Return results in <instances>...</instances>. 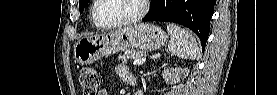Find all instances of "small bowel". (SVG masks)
Instances as JSON below:
<instances>
[{"instance_id": "obj_1", "label": "small bowel", "mask_w": 277, "mask_h": 95, "mask_svg": "<svg viewBox=\"0 0 277 95\" xmlns=\"http://www.w3.org/2000/svg\"><path fill=\"white\" fill-rule=\"evenodd\" d=\"M116 73L128 82L132 79L123 65H119L116 67ZM99 95H107V91L105 89H102L100 90Z\"/></svg>"}]
</instances>
